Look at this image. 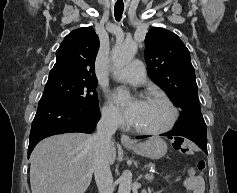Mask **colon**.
<instances>
[{
  "mask_svg": "<svg viewBox=\"0 0 237 193\" xmlns=\"http://www.w3.org/2000/svg\"><path fill=\"white\" fill-rule=\"evenodd\" d=\"M172 147L182 153L187 155H192L194 153V145L191 141L183 137H175L171 140ZM197 168L201 174L204 173L206 168L205 161L201 160L197 163Z\"/></svg>",
  "mask_w": 237,
  "mask_h": 193,
  "instance_id": "obj_1",
  "label": "colon"
}]
</instances>
